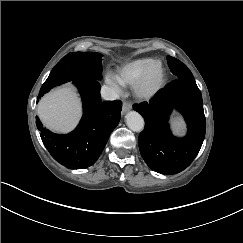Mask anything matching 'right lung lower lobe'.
<instances>
[{
  "mask_svg": "<svg viewBox=\"0 0 243 243\" xmlns=\"http://www.w3.org/2000/svg\"><path fill=\"white\" fill-rule=\"evenodd\" d=\"M73 83L81 93L84 108L77 128L67 135H58L43 128L38 118L36 125L45 147L57 162L70 169H83L93 165L102 153L119 123L122 103L101 102L99 80L81 78Z\"/></svg>",
  "mask_w": 243,
  "mask_h": 243,
  "instance_id": "1",
  "label": "right lung lower lobe"
}]
</instances>
